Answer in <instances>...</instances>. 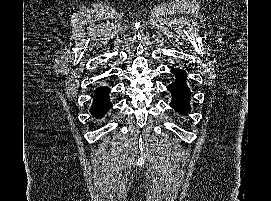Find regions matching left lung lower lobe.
Returning <instances> with one entry per match:
<instances>
[{
  "instance_id": "left-lung-lower-lobe-1",
  "label": "left lung lower lobe",
  "mask_w": 271,
  "mask_h": 201,
  "mask_svg": "<svg viewBox=\"0 0 271 201\" xmlns=\"http://www.w3.org/2000/svg\"><path fill=\"white\" fill-rule=\"evenodd\" d=\"M171 72L175 74L177 80L168 86V90L173 95L170 105L180 114H186L190 110L189 100L191 97L190 90L185 82L187 74L179 69H172Z\"/></svg>"
}]
</instances>
